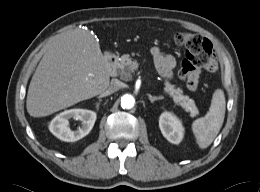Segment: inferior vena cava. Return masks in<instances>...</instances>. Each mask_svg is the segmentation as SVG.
Instances as JSON below:
<instances>
[{"label":"inferior vena cava","instance_id":"obj_1","mask_svg":"<svg viewBox=\"0 0 260 192\" xmlns=\"http://www.w3.org/2000/svg\"><path fill=\"white\" fill-rule=\"evenodd\" d=\"M123 83L118 79H112L108 88L103 92L104 95H110L122 88Z\"/></svg>","mask_w":260,"mask_h":192}]
</instances>
